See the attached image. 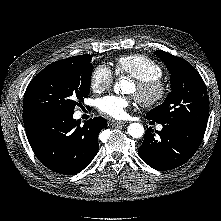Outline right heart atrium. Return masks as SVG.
<instances>
[{
    "mask_svg": "<svg viewBox=\"0 0 221 221\" xmlns=\"http://www.w3.org/2000/svg\"><path fill=\"white\" fill-rule=\"evenodd\" d=\"M114 78L115 75L109 66L106 64H99L94 67L91 73V88L96 93L103 92L112 86Z\"/></svg>",
    "mask_w": 221,
    "mask_h": 221,
    "instance_id": "right-heart-atrium-1",
    "label": "right heart atrium"
}]
</instances>
